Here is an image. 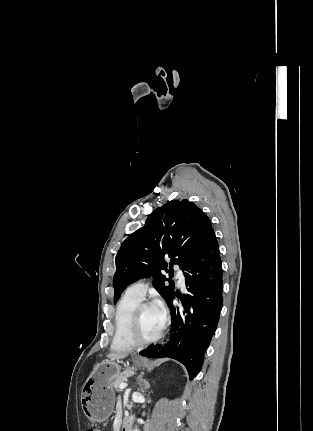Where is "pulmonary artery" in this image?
I'll return each instance as SVG.
<instances>
[{"mask_svg":"<svg viewBox=\"0 0 313 431\" xmlns=\"http://www.w3.org/2000/svg\"><path fill=\"white\" fill-rule=\"evenodd\" d=\"M176 277L178 279L179 285L184 286L185 277H184L183 271L180 268H176ZM147 289H148V283L142 280L130 285L126 289V293L129 295L135 296L137 298L143 299L146 295Z\"/></svg>","mask_w":313,"mask_h":431,"instance_id":"obj_1","label":"pulmonary artery"}]
</instances>
